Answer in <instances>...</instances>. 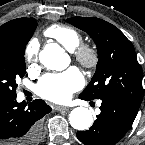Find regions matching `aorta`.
<instances>
[{"mask_svg": "<svg viewBox=\"0 0 145 145\" xmlns=\"http://www.w3.org/2000/svg\"><path fill=\"white\" fill-rule=\"evenodd\" d=\"M39 61L48 69L62 71L70 63L68 55L58 44H47L39 53ZM69 121L74 129L83 131L93 123L91 111L85 107L74 108L69 114Z\"/></svg>", "mask_w": 145, "mask_h": 145, "instance_id": "aorta-1", "label": "aorta"}]
</instances>
